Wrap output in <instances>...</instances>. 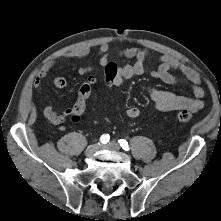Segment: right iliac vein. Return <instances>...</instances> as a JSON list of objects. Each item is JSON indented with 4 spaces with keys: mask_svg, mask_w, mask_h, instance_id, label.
Returning a JSON list of instances; mask_svg holds the SVG:
<instances>
[{
    "mask_svg": "<svg viewBox=\"0 0 221 221\" xmlns=\"http://www.w3.org/2000/svg\"><path fill=\"white\" fill-rule=\"evenodd\" d=\"M99 148H100V146H99L98 144L90 145V146L85 150V154H86L87 156H91V155H93L95 152H97Z\"/></svg>",
    "mask_w": 221,
    "mask_h": 221,
    "instance_id": "63e3f726",
    "label": "right iliac vein"
}]
</instances>
